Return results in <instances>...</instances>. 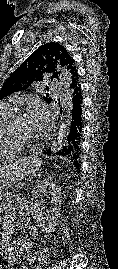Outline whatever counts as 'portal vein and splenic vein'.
Masks as SVG:
<instances>
[{
    "mask_svg": "<svg viewBox=\"0 0 118 269\" xmlns=\"http://www.w3.org/2000/svg\"><path fill=\"white\" fill-rule=\"evenodd\" d=\"M22 186H23V187H25V186H26V184H22Z\"/></svg>",
    "mask_w": 118,
    "mask_h": 269,
    "instance_id": "1",
    "label": "portal vein and splenic vein"
}]
</instances>
